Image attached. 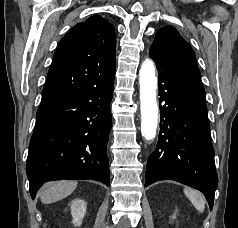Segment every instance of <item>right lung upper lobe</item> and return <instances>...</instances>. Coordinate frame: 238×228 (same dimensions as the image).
Here are the masks:
<instances>
[{"label":"right lung upper lobe","instance_id":"right-lung-upper-lobe-1","mask_svg":"<svg viewBox=\"0 0 238 228\" xmlns=\"http://www.w3.org/2000/svg\"><path fill=\"white\" fill-rule=\"evenodd\" d=\"M114 27L94 15L75 25L61 39L54 54L41 103L97 87L115 76Z\"/></svg>","mask_w":238,"mask_h":228}]
</instances>
